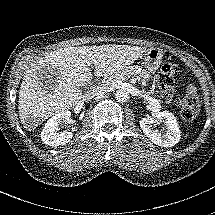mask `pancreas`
I'll return each instance as SVG.
<instances>
[{"mask_svg": "<svg viewBox=\"0 0 215 215\" xmlns=\"http://www.w3.org/2000/svg\"><path fill=\"white\" fill-rule=\"evenodd\" d=\"M109 76H113L115 79L126 78L127 76H136L143 85H146L147 82L152 79L150 73L140 65H131L121 70V73H118L117 71ZM151 91L154 92V87L151 88Z\"/></svg>", "mask_w": 215, "mask_h": 215, "instance_id": "pancreas-1", "label": "pancreas"}]
</instances>
